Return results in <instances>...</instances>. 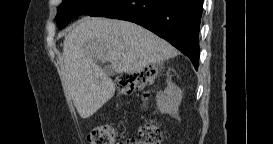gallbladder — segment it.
Segmentation results:
<instances>
[{
    "mask_svg": "<svg viewBox=\"0 0 273 144\" xmlns=\"http://www.w3.org/2000/svg\"><path fill=\"white\" fill-rule=\"evenodd\" d=\"M103 70L106 76H117V66L116 65H105Z\"/></svg>",
    "mask_w": 273,
    "mask_h": 144,
    "instance_id": "gallbladder-1",
    "label": "gallbladder"
}]
</instances>
